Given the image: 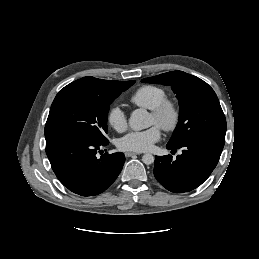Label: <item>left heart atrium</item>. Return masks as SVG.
I'll use <instances>...</instances> for the list:
<instances>
[{
	"mask_svg": "<svg viewBox=\"0 0 259 259\" xmlns=\"http://www.w3.org/2000/svg\"><path fill=\"white\" fill-rule=\"evenodd\" d=\"M161 137L158 126L154 125L146 130L133 131L118 141V147L125 151L144 152L152 148Z\"/></svg>",
	"mask_w": 259,
	"mask_h": 259,
	"instance_id": "left-heart-atrium-1",
	"label": "left heart atrium"
}]
</instances>
